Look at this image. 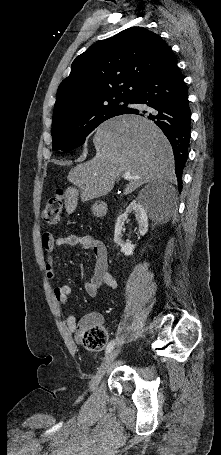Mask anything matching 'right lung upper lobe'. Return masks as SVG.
<instances>
[{
	"label": "right lung upper lobe",
	"instance_id": "1",
	"mask_svg": "<svg viewBox=\"0 0 221 455\" xmlns=\"http://www.w3.org/2000/svg\"><path fill=\"white\" fill-rule=\"evenodd\" d=\"M171 48L157 34L131 27L90 46L58 87L53 123L96 104L130 98Z\"/></svg>",
	"mask_w": 221,
	"mask_h": 455
}]
</instances>
